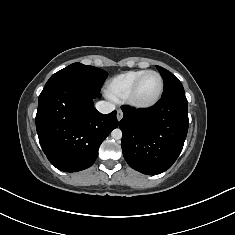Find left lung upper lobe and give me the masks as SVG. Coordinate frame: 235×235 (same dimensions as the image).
Instances as JSON below:
<instances>
[{"label": "left lung upper lobe", "instance_id": "left-lung-upper-lobe-1", "mask_svg": "<svg viewBox=\"0 0 235 235\" xmlns=\"http://www.w3.org/2000/svg\"><path fill=\"white\" fill-rule=\"evenodd\" d=\"M157 68L164 80V91L162 97L173 94H184L182 84L171 72L160 66H157Z\"/></svg>", "mask_w": 235, "mask_h": 235}]
</instances>
